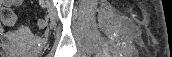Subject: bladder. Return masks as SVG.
I'll return each instance as SVG.
<instances>
[{"mask_svg": "<svg viewBox=\"0 0 172 57\" xmlns=\"http://www.w3.org/2000/svg\"><path fill=\"white\" fill-rule=\"evenodd\" d=\"M2 57H13L10 52H7L5 55H2Z\"/></svg>", "mask_w": 172, "mask_h": 57, "instance_id": "1", "label": "bladder"}]
</instances>
